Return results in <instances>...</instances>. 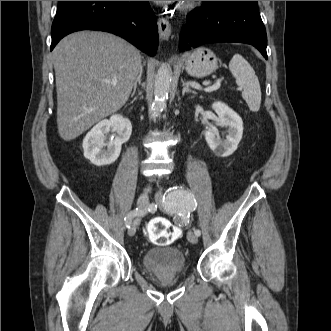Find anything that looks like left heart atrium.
I'll return each mask as SVG.
<instances>
[{"instance_id": "left-heart-atrium-1", "label": "left heart atrium", "mask_w": 331, "mask_h": 331, "mask_svg": "<svg viewBox=\"0 0 331 331\" xmlns=\"http://www.w3.org/2000/svg\"><path fill=\"white\" fill-rule=\"evenodd\" d=\"M155 2L158 3V4H165V3H169L171 1H155Z\"/></svg>"}]
</instances>
